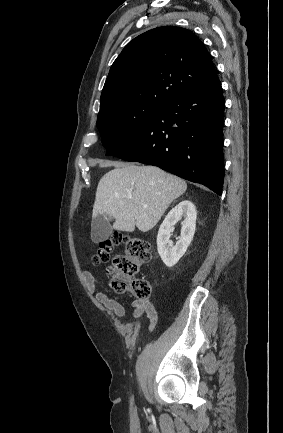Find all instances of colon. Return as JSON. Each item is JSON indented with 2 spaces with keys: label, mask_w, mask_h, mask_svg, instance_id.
<instances>
[{
  "label": "colon",
  "mask_w": 283,
  "mask_h": 433,
  "mask_svg": "<svg viewBox=\"0 0 283 433\" xmlns=\"http://www.w3.org/2000/svg\"><path fill=\"white\" fill-rule=\"evenodd\" d=\"M124 244L123 254L116 255L109 271L113 274L112 287L117 292H129L137 299H147L151 293V286L144 279H129L135 276L143 264L151 260L150 244L139 238H127L122 234H115L112 238L101 241L97 251L91 256L94 265L108 262L114 246Z\"/></svg>",
  "instance_id": "obj_1"
}]
</instances>
